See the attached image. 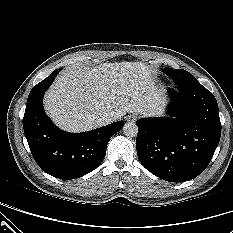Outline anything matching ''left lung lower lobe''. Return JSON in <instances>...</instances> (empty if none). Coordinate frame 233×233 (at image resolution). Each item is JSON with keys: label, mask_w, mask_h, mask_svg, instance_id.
<instances>
[{"label": "left lung lower lobe", "mask_w": 233, "mask_h": 233, "mask_svg": "<svg viewBox=\"0 0 233 233\" xmlns=\"http://www.w3.org/2000/svg\"><path fill=\"white\" fill-rule=\"evenodd\" d=\"M170 117L139 119L137 155L157 177L184 182L201 174L212 159L221 135L218 104L198 81L168 90Z\"/></svg>", "instance_id": "left-lung-lower-lobe-1"}]
</instances>
